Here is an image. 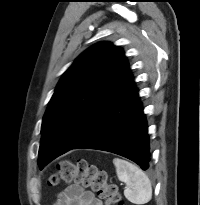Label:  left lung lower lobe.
<instances>
[{
	"instance_id": "obj_1",
	"label": "left lung lower lobe",
	"mask_w": 200,
	"mask_h": 205,
	"mask_svg": "<svg viewBox=\"0 0 200 205\" xmlns=\"http://www.w3.org/2000/svg\"><path fill=\"white\" fill-rule=\"evenodd\" d=\"M78 148L112 152L149 169L147 123L130 71L108 108L73 149Z\"/></svg>"
}]
</instances>
